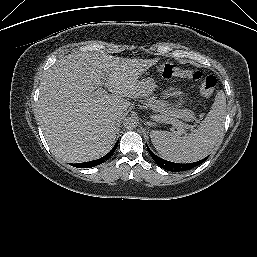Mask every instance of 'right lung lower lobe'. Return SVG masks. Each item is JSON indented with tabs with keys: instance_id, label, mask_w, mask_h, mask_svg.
<instances>
[{
	"instance_id": "98d812e1",
	"label": "right lung lower lobe",
	"mask_w": 257,
	"mask_h": 257,
	"mask_svg": "<svg viewBox=\"0 0 257 257\" xmlns=\"http://www.w3.org/2000/svg\"><path fill=\"white\" fill-rule=\"evenodd\" d=\"M117 146H118V142L115 144L113 149L108 154H106L105 156H103L100 159L89 161V162H84V163L71 164V165L74 167H77V168H90V167L97 166V165L103 163L104 161H107L113 155Z\"/></svg>"
}]
</instances>
